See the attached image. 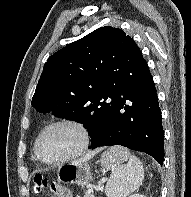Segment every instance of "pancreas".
<instances>
[{"mask_svg": "<svg viewBox=\"0 0 191 197\" xmlns=\"http://www.w3.org/2000/svg\"><path fill=\"white\" fill-rule=\"evenodd\" d=\"M84 197H94V195H93V193L87 191V192H85Z\"/></svg>", "mask_w": 191, "mask_h": 197, "instance_id": "1", "label": "pancreas"}]
</instances>
